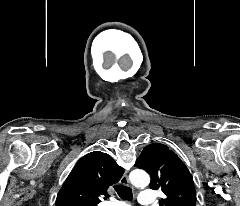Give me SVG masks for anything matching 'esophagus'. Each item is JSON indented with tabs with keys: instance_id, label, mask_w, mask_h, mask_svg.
Instances as JSON below:
<instances>
[{
	"instance_id": "obj_1",
	"label": "esophagus",
	"mask_w": 240,
	"mask_h": 206,
	"mask_svg": "<svg viewBox=\"0 0 240 206\" xmlns=\"http://www.w3.org/2000/svg\"><path fill=\"white\" fill-rule=\"evenodd\" d=\"M120 183H121L122 185H125V186H128V185H129V180H128L127 172H125V173L123 174V176L121 177Z\"/></svg>"
}]
</instances>
